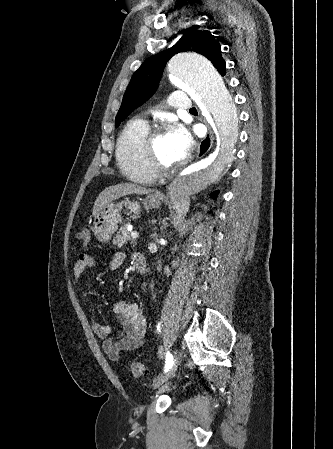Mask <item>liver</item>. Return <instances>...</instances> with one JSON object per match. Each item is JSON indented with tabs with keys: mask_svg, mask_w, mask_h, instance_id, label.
Segmentation results:
<instances>
[{
	"mask_svg": "<svg viewBox=\"0 0 333 449\" xmlns=\"http://www.w3.org/2000/svg\"><path fill=\"white\" fill-rule=\"evenodd\" d=\"M149 192V189L143 188L133 183H120L112 185L110 187H107L99 194L94 203L92 214L95 217L104 206L120 197L130 194L144 195L148 194Z\"/></svg>",
	"mask_w": 333,
	"mask_h": 449,
	"instance_id": "6515ba94",
	"label": "liver"
}]
</instances>
